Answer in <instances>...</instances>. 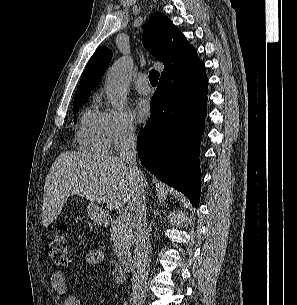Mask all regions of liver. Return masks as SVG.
Here are the masks:
<instances>
[{
    "label": "liver",
    "mask_w": 297,
    "mask_h": 305,
    "mask_svg": "<svg viewBox=\"0 0 297 305\" xmlns=\"http://www.w3.org/2000/svg\"><path fill=\"white\" fill-rule=\"evenodd\" d=\"M144 187L146 181H143ZM139 184L126 162L115 156L88 152H62L47 175L42 207V224L49 226L59 216L71 195L117 209L131 203Z\"/></svg>",
    "instance_id": "obj_1"
}]
</instances>
